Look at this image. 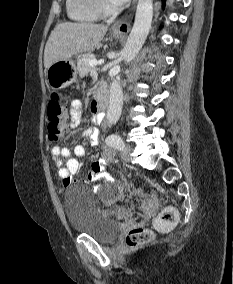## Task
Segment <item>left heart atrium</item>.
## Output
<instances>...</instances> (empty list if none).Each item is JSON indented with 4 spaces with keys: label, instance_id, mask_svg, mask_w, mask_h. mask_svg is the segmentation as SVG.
<instances>
[{
    "label": "left heart atrium",
    "instance_id": "1",
    "mask_svg": "<svg viewBox=\"0 0 233 284\" xmlns=\"http://www.w3.org/2000/svg\"><path fill=\"white\" fill-rule=\"evenodd\" d=\"M111 1L114 5L118 6L126 3L128 0H111Z\"/></svg>",
    "mask_w": 233,
    "mask_h": 284
}]
</instances>
